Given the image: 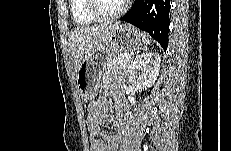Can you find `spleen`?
Wrapping results in <instances>:
<instances>
[{
  "instance_id": "3e777b00",
  "label": "spleen",
  "mask_w": 231,
  "mask_h": 151,
  "mask_svg": "<svg viewBox=\"0 0 231 151\" xmlns=\"http://www.w3.org/2000/svg\"><path fill=\"white\" fill-rule=\"evenodd\" d=\"M151 43V40L149 39L148 35H145V42L144 44L149 45Z\"/></svg>"
}]
</instances>
